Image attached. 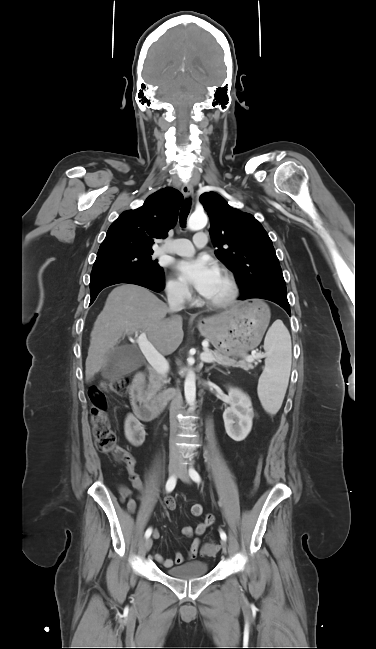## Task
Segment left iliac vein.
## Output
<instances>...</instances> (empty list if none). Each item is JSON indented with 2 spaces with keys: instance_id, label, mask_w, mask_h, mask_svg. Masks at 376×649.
Masks as SVG:
<instances>
[{
  "instance_id": "obj_1",
  "label": "left iliac vein",
  "mask_w": 376,
  "mask_h": 649,
  "mask_svg": "<svg viewBox=\"0 0 376 649\" xmlns=\"http://www.w3.org/2000/svg\"><path fill=\"white\" fill-rule=\"evenodd\" d=\"M178 477L185 483H190V477L187 473L186 466L181 464L178 468ZM221 548L224 553H227L228 546L225 540L221 541Z\"/></svg>"
}]
</instances>
